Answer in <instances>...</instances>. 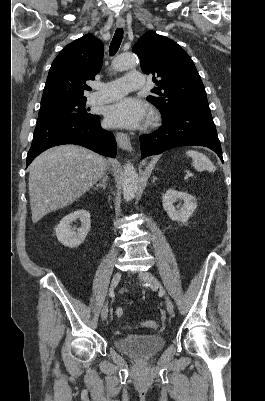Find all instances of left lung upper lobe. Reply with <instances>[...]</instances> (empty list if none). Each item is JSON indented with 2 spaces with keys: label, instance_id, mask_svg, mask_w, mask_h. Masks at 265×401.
Returning <instances> with one entry per match:
<instances>
[{
  "label": "left lung upper lobe",
  "instance_id": "obj_1",
  "mask_svg": "<svg viewBox=\"0 0 265 401\" xmlns=\"http://www.w3.org/2000/svg\"><path fill=\"white\" fill-rule=\"evenodd\" d=\"M132 51L141 60L146 74H153L157 85L147 100L157 106L162 116L187 108L209 109L204 85L188 54L173 40L153 31L145 33ZM158 78V79H156Z\"/></svg>",
  "mask_w": 265,
  "mask_h": 401
}]
</instances>
